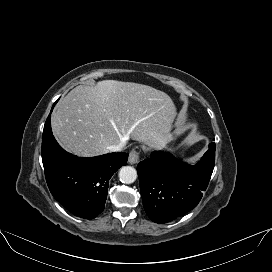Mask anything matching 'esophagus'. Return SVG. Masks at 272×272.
<instances>
[{"instance_id":"esophagus-1","label":"esophagus","mask_w":272,"mask_h":272,"mask_svg":"<svg viewBox=\"0 0 272 272\" xmlns=\"http://www.w3.org/2000/svg\"><path fill=\"white\" fill-rule=\"evenodd\" d=\"M139 161V153L136 150H133L129 154L128 162L130 164H136Z\"/></svg>"}]
</instances>
